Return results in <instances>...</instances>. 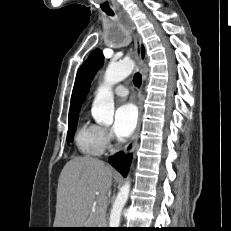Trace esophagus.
<instances>
[{
	"label": "esophagus",
	"mask_w": 231,
	"mask_h": 231,
	"mask_svg": "<svg viewBox=\"0 0 231 231\" xmlns=\"http://www.w3.org/2000/svg\"><path fill=\"white\" fill-rule=\"evenodd\" d=\"M134 47H135V59H136V64H137V70L140 71V73L144 77L145 61L142 57V41L138 33L134 34ZM138 107H139V115H138L137 127H136V130L133 136L131 137L129 142L124 147L123 152L125 155H128L133 152L137 144L138 138H139V132L141 128V119H142V113H143V93L142 91L140 92Z\"/></svg>",
	"instance_id": "esophagus-1"
}]
</instances>
